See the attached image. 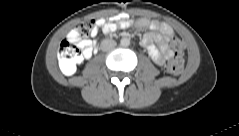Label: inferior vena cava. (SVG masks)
Returning a JSON list of instances; mask_svg holds the SVG:
<instances>
[{
	"instance_id": "inferior-vena-cava-1",
	"label": "inferior vena cava",
	"mask_w": 239,
	"mask_h": 136,
	"mask_svg": "<svg viewBox=\"0 0 239 136\" xmlns=\"http://www.w3.org/2000/svg\"><path fill=\"white\" fill-rule=\"evenodd\" d=\"M116 45H117V43L114 40H112V39H105V40H103L101 42V46L100 47H101V49L103 51H107V50L115 47Z\"/></svg>"
}]
</instances>
